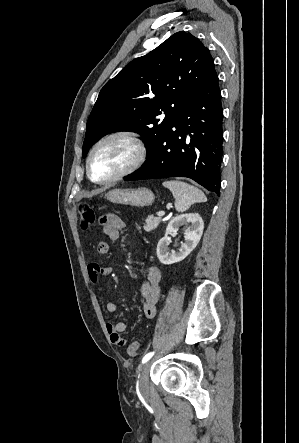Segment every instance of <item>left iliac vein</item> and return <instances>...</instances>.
Returning a JSON list of instances; mask_svg holds the SVG:
<instances>
[{"label":"left iliac vein","instance_id":"4c4485c4","mask_svg":"<svg viewBox=\"0 0 299 443\" xmlns=\"http://www.w3.org/2000/svg\"><path fill=\"white\" fill-rule=\"evenodd\" d=\"M151 362H146L140 372L139 376V390L142 395L148 394L149 391V372H150Z\"/></svg>","mask_w":299,"mask_h":443}]
</instances>
